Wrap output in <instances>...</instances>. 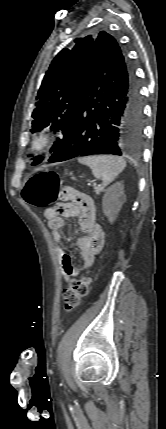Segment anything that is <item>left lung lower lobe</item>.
<instances>
[{
	"label": "left lung lower lobe",
	"instance_id": "1",
	"mask_svg": "<svg viewBox=\"0 0 166 429\" xmlns=\"http://www.w3.org/2000/svg\"><path fill=\"white\" fill-rule=\"evenodd\" d=\"M142 134V99L133 67L115 38L101 32L73 118L48 161L135 154Z\"/></svg>",
	"mask_w": 166,
	"mask_h": 429
}]
</instances>
